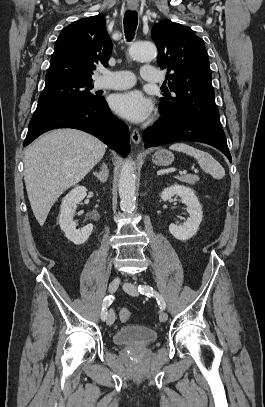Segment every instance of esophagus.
Returning <instances> with one entry per match:
<instances>
[{
	"mask_svg": "<svg viewBox=\"0 0 265 407\" xmlns=\"http://www.w3.org/2000/svg\"><path fill=\"white\" fill-rule=\"evenodd\" d=\"M130 9H131V10H136L137 7H136V6H130ZM131 139H132L133 143H135V144H139V143H140V141H141V135H140V132H139L137 129H134V130L132 131Z\"/></svg>",
	"mask_w": 265,
	"mask_h": 407,
	"instance_id": "34e87169",
	"label": "esophagus"
}]
</instances>
